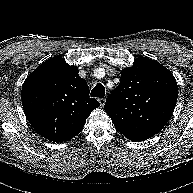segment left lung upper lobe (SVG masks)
Masks as SVG:
<instances>
[{
  "label": "left lung upper lobe",
  "instance_id": "obj_1",
  "mask_svg": "<svg viewBox=\"0 0 193 193\" xmlns=\"http://www.w3.org/2000/svg\"><path fill=\"white\" fill-rule=\"evenodd\" d=\"M178 97L173 74L155 60L135 59L121 71L120 84L104 109L116 129L132 141L151 138L169 121Z\"/></svg>",
  "mask_w": 193,
  "mask_h": 193
}]
</instances>
